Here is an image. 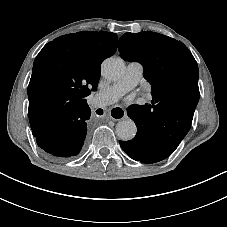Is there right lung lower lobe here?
<instances>
[{
	"mask_svg": "<svg viewBox=\"0 0 227 227\" xmlns=\"http://www.w3.org/2000/svg\"><path fill=\"white\" fill-rule=\"evenodd\" d=\"M90 114L88 105H83L69 113L62 122L51 125L42 120L45 115L43 108L35 106L31 110L29 107V121L38 146L56 159L79 154L87 135Z\"/></svg>",
	"mask_w": 227,
	"mask_h": 227,
	"instance_id": "obj_1",
	"label": "right lung lower lobe"
}]
</instances>
